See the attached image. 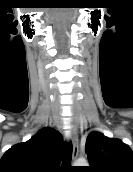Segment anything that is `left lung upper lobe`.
Returning a JSON list of instances; mask_svg holds the SVG:
<instances>
[{
	"label": "left lung upper lobe",
	"instance_id": "1",
	"mask_svg": "<svg viewBox=\"0 0 133 172\" xmlns=\"http://www.w3.org/2000/svg\"><path fill=\"white\" fill-rule=\"evenodd\" d=\"M87 172H133V151L119 139L93 131L86 140Z\"/></svg>",
	"mask_w": 133,
	"mask_h": 172
}]
</instances>
